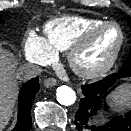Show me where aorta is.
<instances>
[{"instance_id":"762f6f07","label":"aorta","mask_w":131,"mask_h":131,"mask_svg":"<svg viewBox=\"0 0 131 131\" xmlns=\"http://www.w3.org/2000/svg\"><path fill=\"white\" fill-rule=\"evenodd\" d=\"M57 101L64 106H70L76 101V94L72 88L62 85L56 90Z\"/></svg>"}]
</instances>
